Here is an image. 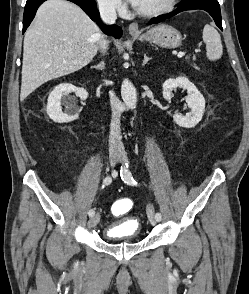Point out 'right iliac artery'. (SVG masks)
Listing matches in <instances>:
<instances>
[{
	"instance_id": "82829eb1",
	"label": "right iliac artery",
	"mask_w": 249,
	"mask_h": 294,
	"mask_svg": "<svg viewBox=\"0 0 249 294\" xmlns=\"http://www.w3.org/2000/svg\"><path fill=\"white\" fill-rule=\"evenodd\" d=\"M114 174H116L115 171L113 172V175H114ZM103 182H104L105 185H109V184L112 182V178H111L110 176H107V177L104 178ZM94 214H95L94 209H90L89 212H88V215H89L90 217H93Z\"/></svg>"
}]
</instances>
